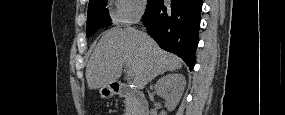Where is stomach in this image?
Returning a JSON list of instances; mask_svg holds the SVG:
<instances>
[{"instance_id":"0dacf381","label":"stomach","mask_w":285,"mask_h":115,"mask_svg":"<svg viewBox=\"0 0 285 115\" xmlns=\"http://www.w3.org/2000/svg\"><path fill=\"white\" fill-rule=\"evenodd\" d=\"M100 95L103 99H109L114 95V90L110 85L103 86L100 89Z\"/></svg>"}]
</instances>
